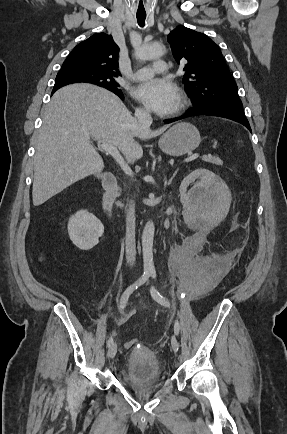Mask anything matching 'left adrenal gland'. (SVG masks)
Here are the masks:
<instances>
[{"label": "left adrenal gland", "instance_id": "left-adrenal-gland-1", "mask_svg": "<svg viewBox=\"0 0 287 434\" xmlns=\"http://www.w3.org/2000/svg\"><path fill=\"white\" fill-rule=\"evenodd\" d=\"M176 174H177V170L174 172L173 176L169 179V181H168V185L171 184V182H172V180L174 179V177L176 176Z\"/></svg>", "mask_w": 287, "mask_h": 434}]
</instances>
